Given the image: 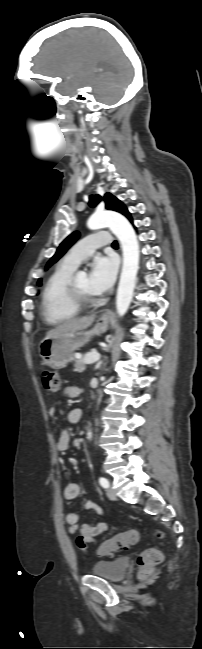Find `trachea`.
<instances>
[{"mask_svg":"<svg viewBox=\"0 0 202 649\" xmlns=\"http://www.w3.org/2000/svg\"><path fill=\"white\" fill-rule=\"evenodd\" d=\"M112 246H118L117 241H114V242L112 243Z\"/></svg>","mask_w":202,"mask_h":649,"instance_id":"obj_1","label":"trachea"}]
</instances>
